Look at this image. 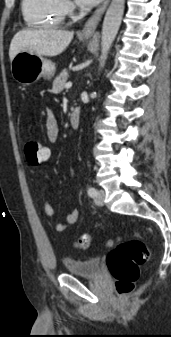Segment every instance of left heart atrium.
I'll list each match as a JSON object with an SVG mask.
<instances>
[{
    "instance_id": "obj_1",
    "label": "left heart atrium",
    "mask_w": 171,
    "mask_h": 337,
    "mask_svg": "<svg viewBox=\"0 0 171 337\" xmlns=\"http://www.w3.org/2000/svg\"><path fill=\"white\" fill-rule=\"evenodd\" d=\"M76 2L81 6H94L100 2V0H76Z\"/></svg>"
}]
</instances>
